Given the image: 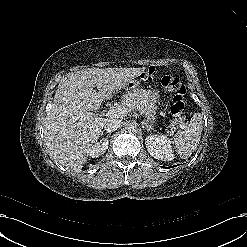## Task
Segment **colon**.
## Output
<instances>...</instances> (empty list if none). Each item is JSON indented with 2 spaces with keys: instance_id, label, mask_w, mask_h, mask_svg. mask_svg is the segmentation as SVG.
I'll use <instances>...</instances> for the list:
<instances>
[{
  "instance_id": "obj_1",
  "label": "colon",
  "mask_w": 247,
  "mask_h": 247,
  "mask_svg": "<svg viewBox=\"0 0 247 247\" xmlns=\"http://www.w3.org/2000/svg\"><path fill=\"white\" fill-rule=\"evenodd\" d=\"M161 85L173 94L170 104L172 115L180 117L185 113L186 87L181 80L173 75H165L161 78Z\"/></svg>"
}]
</instances>
